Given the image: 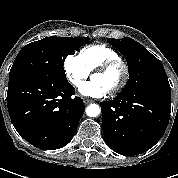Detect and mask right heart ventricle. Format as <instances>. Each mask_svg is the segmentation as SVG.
Here are the masks:
<instances>
[{"label": "right heart ventricle", "mask_w": 178, "mask_h": 178, "mask_svg": "<svg viewBox=\"0 0 178 178\" xmlns=\"http://www.w3.org/2000/svg\"><path fill=\"white\" fill-rule=\"evenodd\" d=\"M79 57L89 72L109 60L120 58L116 50L105 44L85 46L80 50Z\"/></svg>", "instance_id": "e07e8e85"}]
</instances>
